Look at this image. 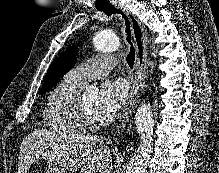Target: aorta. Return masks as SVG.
<instances>
[{"label": "aorta", "instance_id": "aorta-1", "mask_svg": "<svg viewBox=\"0 0 219 173\" xmlns=\"http://www.w3.org/2000/svg\"><path fill=\"white\" fill-rule=\"evenodd\" d=\"M93 43L98 51L104 53L116 51L121 45L119 37L107 30L98 31L93 38ZM135 124L141 144L129 161L126 173H145L152 153L154 126L152 111L147 105H141L137 109Z\"/></svg>", "mask_w": 219, "mask_h": 173}]
</instances>
